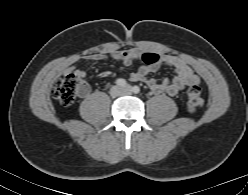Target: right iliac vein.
Masks as SVG:
<instances>
[{"label": "right iliac vein", "mask_w": 248, "mask_h": 195, "mask_svg": "<svg viewBox=\"0 0 248 195\" xmlns=\"http://www.w3.org/2000/svg\"><path fill=\"white\" fill-rule=\"evenodd\" d=\"M122 93V89L118 86H113L110 90V94L112 96H118V95H121Z\"/></svg>", "instance_id": "1"}]
</instances>
